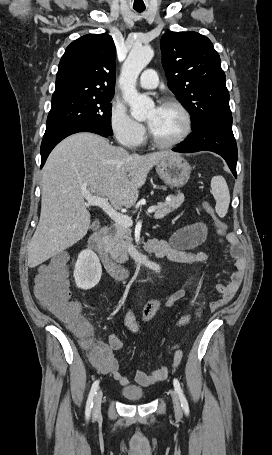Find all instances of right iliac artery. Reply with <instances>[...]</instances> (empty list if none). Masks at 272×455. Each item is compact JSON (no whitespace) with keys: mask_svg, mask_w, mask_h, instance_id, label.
<instances>
[{"mask_svg":"<svg viewBox=\"0 0 272 455\" xmlns=\"http://www.w3.org/2000/svg\"><path fill=\"white\" fill-rule=\"evenodd\" d=\"M98 386H99V381L96 380L93 383L92 387H91V390H90V393H89V396H88V400H87V403H86L85 415H86L87 419L90 417L91 409L93 407V399H94V396L97 393Z\"/></svg>","mask_w":272,"mask_h":455,"instance_id":"1","label":"right iliac artery"}]
</instances>
